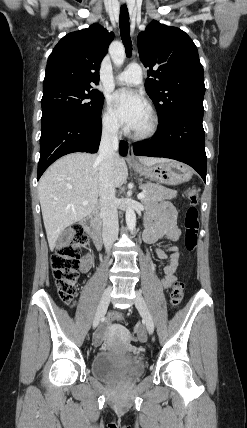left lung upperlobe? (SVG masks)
<instances>
[{"instance_id": "5c2ea615", "label": "left lung upper lobe", "mask_w": 247, "mask_h": 428, "mask_svg": "<svg viewBox=\"0 0 247 428\" xmlns=\"http://www.w3.org/2000/svg\"><path fill=\"white\" fill-rule=\"evenodd\" d=\"M137 42L140 59L153 77L146 79L145 88L160 121L177 111L203 113V68L191 38L179 28L152 21Z\"/></svg>"}]
</instances>
